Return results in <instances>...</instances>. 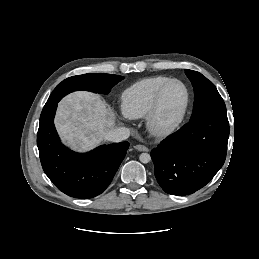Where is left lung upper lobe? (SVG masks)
I'll return each instance as SVG.
<instances>
[{"label": "left lung upper lobe", "instance_id": "5c2ea615", "mask_svg": "<svg viewBox=\"0 0 259 259\" xmlns=\"http://www.w3.org/2000/svg\"><path fill=\"white\" fill-rule=\"evenodd\" d=\"M194 88V106L191 119L209 112H226L225 103L215 85L201 73L185 70Z\"/></svg>", "mask_w": 259, "mask_h": 259}]
</instances>
